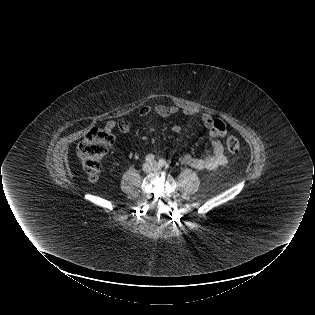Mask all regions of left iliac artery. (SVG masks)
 Listing matches in <instances>:
<instances>
[{"instance_id": "1", "label": "left iliac artery", "mask_w": 315, "mask_h": 315, "mask_svg": "<svg viewBox=\"0 0 315 315\" xmlns=\"http://www.w3.org/2000/svg\"><path fill=\"white\" fill-rule=\"evenodd\" d=\"M158 165H159L160 167H163V166L167 167L166 160L160 159L159 162H158Z\"/></svg>"}]
</instances>
